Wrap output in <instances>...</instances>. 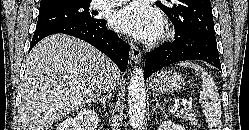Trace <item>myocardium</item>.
Listing matches in <instances>:
<instances>
[{"mask_svg":"<svg viewBox=\"0 0 249 130\" xmlns=\"http://www.w3.org/2000/svg\"><path fill=\"white\" fill-rule=\"evenodd\" d=\"M170 34H171V31L167 30L166 35H170Z\"/></svg>","mask_w":249,"mask_h":130,"instance_id":"obj_1","label":"myocardium"}]
</instances>
